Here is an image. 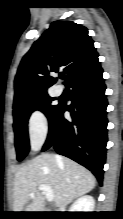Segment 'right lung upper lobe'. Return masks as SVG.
Masks as SVG:
<instances>
[{
  "mask_svg": "<svg viewBox=\"0 0 123 219\" xmlns=\"http://www.w3.org/2000/svg\"><path fill=\"white\" fill-rule=\"evenodd\" d=\"M88 30L72 21H55L25 54L15 81L14 105L47 93L56 78L64 74L65 83L80 69L90 64L98 53Z\"/></svg>",
  "mask_w": 123,
  "mask_h": 219,
  "instance_id": "obj_1",
  "label": "right lung upper lobe"
}]
</instances>
